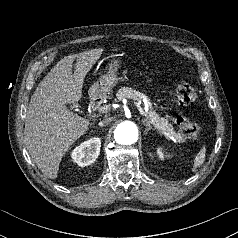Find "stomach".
Wrapping results in <instances>:
<instances>
[{
    "instance_id": "0dacf381",
    "label": "stomach",
    "mask_w": 238,
    "mask_h": 238,
    "mask_svg": "<svg viewBox=\"0 0 238 238\" xmlns=\"http://www.w3.org/2000/svg\"><path fill=\"white\" fill-rule=\"evenodd\" d=\"M122 61L120 59H113L108 65V71L101 76L89 89L91 97L97 98L105 96L118 83L117 70L120 68Z\"/></svg>"
}]
</instances>
